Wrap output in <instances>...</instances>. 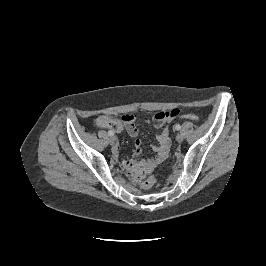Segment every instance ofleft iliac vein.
Here are the masks:
<instances>
[{
    "instance_id": "1",
    "label": "left iliac vein",
    "mask_w": 266,
    "mask_h": 266,
    "mask_svg": "<svg viewBox=\"0 0 266 266\" xmlns=\"http://www.w3.org/2000/svg\"><path fill=\"white\" fill-rule=\"evenodd\" d=\"M183 139H184V137L181 133L177 134V136H176L177 142L181 143L183 141Z\"/></svg>"
}]
</instances>
